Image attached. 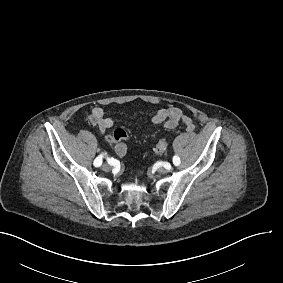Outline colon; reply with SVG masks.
<instances>
[{"mask_svg": "<svg viewBox=\"0 0 283 283\" xmlns=\"http://www.w3.org/2000/svg\"><path fill=\"white\" fill-rule=\"evenodd\" d=\"M166 139H167V136L163 135L162 138H159L157 140V142L155 143V146H154V154L155 155H161L164 152V150L167 146Z\"/></svg>", "mask_w": 283, "mask_h": 283, "instance_id": "1", "label": "colon"}]
</instances>
